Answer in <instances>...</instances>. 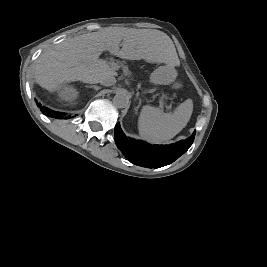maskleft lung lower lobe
<instances>
[{
  "mask_svg": "<svg viewBox=\"0 0 267 267\" xmlns=\"http://www.w3.org/2000/svg\"><path fill=\"white\" fill-rule=\"evenodd\" d=\"M114 136L117 147L131 163L142 167L159 168L174 162L186 152L193 143L195 132L188 139L172 145H150L126 138L120 124L117 123Z\"/></svg>",
  "mask_w": 267,
  "mask_h": 267,
  "instance_id": "obj_1",
  "label": "left lung lower lobe"
}]
</instances>
